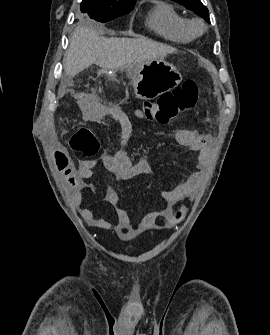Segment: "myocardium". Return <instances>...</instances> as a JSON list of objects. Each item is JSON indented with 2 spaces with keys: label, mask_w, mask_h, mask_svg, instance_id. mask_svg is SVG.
I'll list each match as a JSON object with an SVG mask.
<instances>
[{
  "label": "myocardium",
  "mask_w": 270,
  "mask_h": 335,
  "mask_svg": "<svg viewBox=\"0 0 270 335\" xmlns=\"http://www.w3.org/2000/svg\"><path fill=\"white\" fill-rule=\"evenodd\" d=\"M189 26L194 33L200 34L204 31V24L199 20H192L189 22Z\"/></svg>",
  "instance_id": "f54148a6"
}]
</instances>
